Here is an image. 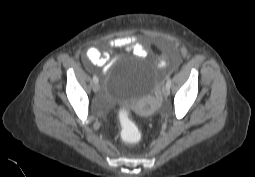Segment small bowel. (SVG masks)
<instances>
[{"label": "small bowel", "instance_id": "c3829d8e", "mask_svg": "<svg viewBox=\"0 0 255 177\" xmlns=\"http://www.w3.org/2000/svg\"><path fill=\"white\" fill-rule=\"evenodd\" d=\"M113 50H128L137 55L147 53V48L141 43L137 35H125L109 40L106 52H101L96 47H90L86 51V60L95 66L101 67L102 71L106 73L115 60L112 55Z\"/></svg>", "mask_w": 255, "mask_h": 177}]
</instances>
